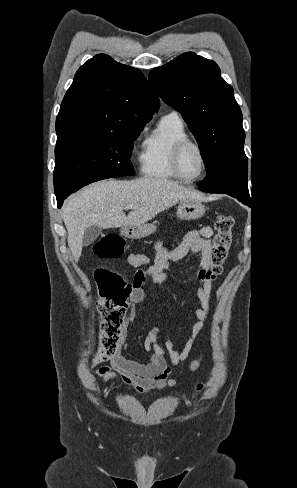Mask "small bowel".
Wrapping results in <instances>:
<instances>
[{"label":"small bowel","mask_w":297,"mask_h":488,"mask_svg":"<svg viewBox=\"0 0 297 488\" xmlns=\"http://www.w3.org/2000/svg\"><path fill=\"white\" fill-rule=\"evenodd\" d=\"M212 229L203 226L188 232L182 240L173 246L163 245L156 241L153 249L152 264L143 270L144 281L134 285L129 303L145 304L148 293L145 285L156 287L167 280L165 271L175 262L183 259L188 253H199V269L195 275L197 282L196 295L200 306L194 307L191 312L198 319L192 326L191 333L183 349L179 351L175 342L167 337L165 347L168 355L158 346V325L151 328L144 337V348L147 358L141 359L131 354L127 349V335L121 336L119 349L110 359V365L102 366L95 372V378L105 387L109 383L117 384V375L138 393H147L175 385L170 379L171 365L175 366L185 361L195 348V338L204 331V321L211 311V286L214 277L210 273L211 237ZM132 266H141L149 262V257L144 254L133 253L128 257ZM135 278V276H134ZM158 318L162 313H158ZM130 315H128V319ZM200 365V358L194 359L190 369L195 371Z\"/></svg>","instance_id":"c3829d8e"}]
</instances>
